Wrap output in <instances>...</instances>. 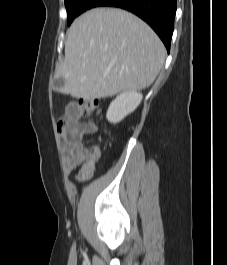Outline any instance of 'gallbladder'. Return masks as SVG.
Segmentation results:
<instances>
[{
  "mask_svg": "<svg viewBox=\"0 0 227 265\" xmlns=\"http://www.w3.org/2000/svg\"><path fill=\"white\" fill-rule=\"evenodd\" d=\"M64 83H65V80H64L63 77H60V78H57V79L54 80V85L57 88L62 87L64 85Z\"/></svg>",
  "mask_w": 227,
  "mask_h": 265,
  "instance_id": "gallbladder-1",
  "label": "gallbladder"
}]
</instances>
